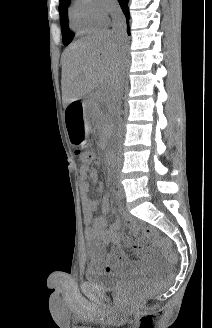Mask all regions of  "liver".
Segmentation results:
<instances>
[{
    "label": "liver",
    "instance_id": "liver-1",
    "mask_svg": "<svg viewBox=\"0 0 212 328\" xmlns=\"http://www.w3.org/2000/svg\"><path fill=\"white\" fill-rule=\"evenodd\" d=\"M123 41L102 30L72 43L63 53L62 97L69 104L101 88L113 94L122 71Z\"/></svg>",
    "mask_w": 212,
    "mask_h": 328
}]
</instances>
